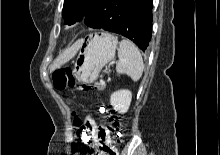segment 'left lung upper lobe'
<instances>
[{"instance_id":"5c2ea615","label":"left lung upper lobe","mask_w":220,"mask_h":155,"mask_svg":"<svg viewBox=\"0 0 220 155\" xmlns=\"http://www.w3.org/2000/svg\"><path fill=\"white\" fill-rule=\"evenodd\" d=\"M98 0H64L62 16L65 24L71 25L86 16Z\"/></svg>"}]
</instances>
